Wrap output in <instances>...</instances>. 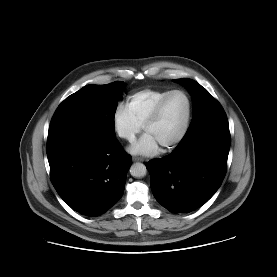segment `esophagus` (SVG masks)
Here are the masks:
<instances>
[{
  "mask_svg": "<svg viewBox=\"0 0 277 277\" xmlns=\"http://www.w3.org/2000/svg\"><path fill=\"white\" fill-rule=\"evenodd\" d=\"M133 161H140V162H143L144 161V158L142 157H133Z\"/></svg>",
  "mask_w": 277,
  "mask_h": 277,
  "instance_id": "obj_1",
  "label": "esophagus"
}]
</instances>
